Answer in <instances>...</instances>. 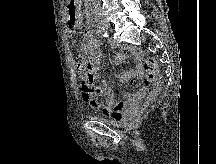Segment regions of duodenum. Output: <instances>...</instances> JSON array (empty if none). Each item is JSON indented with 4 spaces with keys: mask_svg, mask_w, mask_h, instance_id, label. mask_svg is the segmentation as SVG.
I'll use <instances>...</instances> for the list:
<instances>
[{
    "mask_svg": "<svg viewBox=\"0 0 216 164\" xmlns=\"http://www.w3.org/2000/svg\"><path fill=\"white\" fill-rule=\"evenodd\" d=\"M68 9H76V0H69L68 1ZM94 8H95V4L94 3H88L87 4V11L89 14V22H93L94 20Z\"/></svg>",
    "mask_w": 216,
    "mask_h": 164,
    "instance_id": "duodenum-1",
    "label": "duodenum"
}]
</instances>
